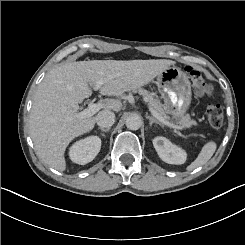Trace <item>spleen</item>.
<instances>
[{"label":"spleen","instance_id":"obj_1","mask_svg":"<svg viewBox=\"0 0 245 245\" xmlns=\"http://www.w3.org/2000/svg\"><path fill=\"white\" fill-rule=\"evenodd\" d=\"M215 151V144L208 143L199 154L198 158L188 167L189 170H193L197 167L204 165L213 155Z\"/></svg>","mask_w":245,"mask_h":245}]
</instances>
